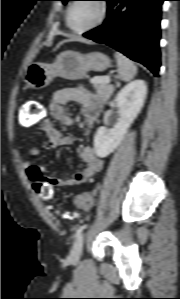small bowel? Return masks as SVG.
Returning a JSON list of instances; mask_svg holds the SVG:
<instances>
[{
    "label": "small bowel",
    "mask_w": 180,
    "mask_h": 299,
    "mask_svg": "<svg viewBox=\"0 0 180 299\" xmlns=\"http://www.w3.org/2000/svg\"><path fill=\"white\" fill-rule=\"evenodd\" d=\"M67 103H78L84 108V121L88 128H93L96 125L101 111V102L92 92L83 88H66L52 95L49 101L51 117L66 126H71L73 119L64 108ZM39 129L47 135V144L50 147L55 148L68 145L73 141L71 134L62 133L53 125L52 121L48 119H44L40 123ZM39 153V149L35 146L30 147L27 152L29 158H35ZM80 156L85 164L84 169L81 171L63 177H50L46 175L44 168L35 166L27 161L24 164L26 176L28 180L34 183L39 181L50 182L60 187H71L83 184L102 170L103 160L95 154L91 146H84L81 149Z\"/></svg>",
    "instance_id": "obj_1"
}]
</instances>
